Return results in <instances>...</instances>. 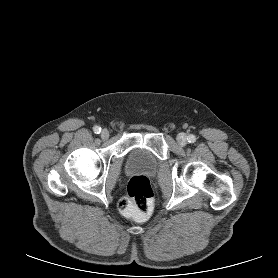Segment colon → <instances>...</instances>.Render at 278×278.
Wrapping results in <instances>:
<instances>
[{"instance_id": "1", "label": "colon", "mask_w": 278, "mask_h": 278, "mask_svg": "<svg viewBox=\"0 0 278 278\" xmlns=\"http://www.w3.org/2000/svg\"><path fill=\"white\" fill-rule=\"evenodd\" d=\"M153 197L150 180L145 176H134L128 183L126 194L118 202V209L136 220H146L152 213Z\"/></svg>"}]
</instances>
